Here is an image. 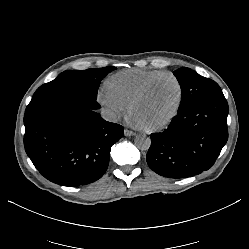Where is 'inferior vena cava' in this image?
<instances>
[{
  "label": "inferior vena cava",
  "mask_w": 249,
  "mask_h": 249,
  "mask_svg": "<svg viewBox=\"0 0 249 249\" xmlns=\"http://www.w3.org/2000/svg\"><path fill=\"white\" fill-rule=\"evenodd\" d=\"M100 115L104 120H106L108 122L116 123L118 121L117 114L111 109L102 108L100 111Z\"/></svg>",
  "instance_id": "inferior-vena-cava-1"
}]
</instances>
